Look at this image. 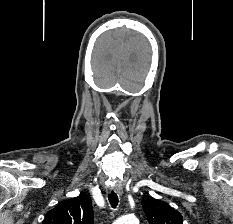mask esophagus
<instances>
[{
	"label": "esophagus",
	"mask_w": 233,
	"mask_h": 224,
	"mask_svg": "<svg viewBox=\"0 0 233 224\" xmlns=\"http://www.w3.org/2000/svg\"><path fill=\"white\" fill-rule=\"evenodd\" d=\"M113 190L115 191V193H117L118 195H122L123 193V188L121 186V184H116L114 187H113Z\"/></svg>",
	"instance_id": "1"
}]
</instances>
